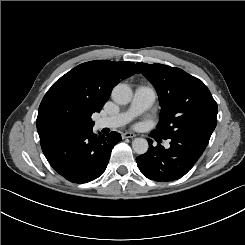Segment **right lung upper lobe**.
I'll use <instances>...</instances> for the list:
<instances>
[{
    "label": "right lung upper lobe",
    "instance_id": "right-lung-upper-lobe-1",
    "mask_svg": "<svg viewBox=\"0 0 245 245\" xmlns=\"http://www.w3.org/2000/svg\"><path fill=\"white\" fill-rule=\"evenodd\" d=\"M139 73L132 62L95 60L80 64L57 80L45 94L37 116L40 140L64 133L58 115L81 108L100 112L111 91L121 80Z\"/></svg>",
    "mask_w": 245,
    "mask_h": 245
}]
</instances>
